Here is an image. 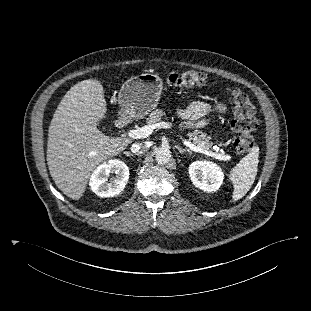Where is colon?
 Listing matches in <instances>:
<instances>
[{
  "label": "colon",
  "instance_id": "1",
  "mask_svg": "<svg viewBox=\"0 0 311 311\" xmlns=\"http://www.w3.org/2000/svg\"><path fill=\"white\" fill-rule=\"evenodd\" d=\"M167 83L176 88L201 86L207 83V77L198 71L175 72L168 75ZM231 98L234 106L231 127L237 133L233 146L238 153H246L254 146L252 133L258 127L256 109L249 96L238 88L231 91Z\"/></svg>",
  "mask_w": 311,
  "mask_h": 311
}]
</instances>
